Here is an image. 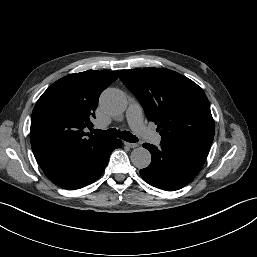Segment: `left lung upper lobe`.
I'll use <instances>...</instances> for the list:
<instances>
[{"instance_id": "obj_1", "label": "left lung upper lobe", "mask_w": 257, "mask_h": 257, "mask_svg": "<svg viewBox=\"0 0 257 257\" xmlns=\"http://www.w3.org/2000/svg\"><path fill=\"white\" fill-rule=\"evenodd\" d=\"M120 79L158 125L161 142L212 143L214 120L204 91L165 68L121 70Z\"/></svg>"}]
</instances>
